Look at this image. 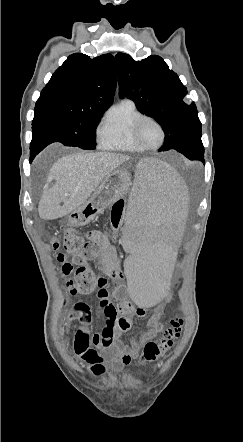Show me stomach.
Here are the masks:
<instances>
[{
    "label": "stomach",
    "mask_w": 243,
    "mask_h": 442,
    "mask_svg": "<svg viewBox=\"0 0 243 442\" xmlns=\"http://www.w3.org/2000/svg\"><path fill=\"white\" fill-rule=\"evenodd\" d=\"M131 186L129 172L117 169L109 174L94 191L92 196L67 216L71 226H82L93 220L107 207L125 196Z\"/></svg>",
    "instance_id": "1"
}]
</instances>
